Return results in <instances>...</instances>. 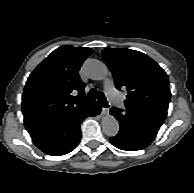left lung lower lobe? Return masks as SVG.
Instances as JSON below:
<instances>
[{
  "mask_svg": "<svg viewBox=\"0 0 194 193\" xmlns=\"http://www.w3.org/2000/svg\"><path fill=\"white\" fill-rule=\"evenodd\" d=\"M110 113L119 121L120 131L111 137V143L126 151H136L148 146L156 137L162 123L131 111L113 107Z\"/></svg>",
  "mask_w": 194,
  "mask_h": 193,
  "instance_id": "0a47b994",
  "label": "left lung lower lobe"
}]
</instances>
